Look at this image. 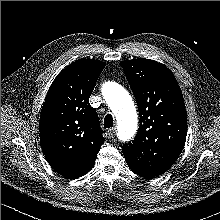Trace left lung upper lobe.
Masks as SVG:
<instances>
[{
	"instance_id": "obj_1",
	"label": "left lung upper lobe",
	"mask_w": 220,
	"mask_h": 220,
	"mask_svg": "<svg viewBox=\"0 0 220 220\" xmlns=\"http://www.w3.org/2000/svg\"><path fill=\"white\" fill-rule=\"evenodd\" d=\"M136 98L140 126L132 143L122 146L129 168L159 176L179 157L185 143L187 113L172 72L154 60L138 58L120 63Z\"/></svg>"
}]
</instances>
